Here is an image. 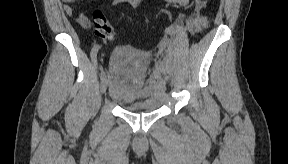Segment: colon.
Returning <instances> with one entry per match:
<instances>
[{
	"label": "colon",
	"instance_id": "colon-1",
	"mask_svg": "<svg viewBox=\"0 0 288 164\" xmlns=\"http://www.w3.org/2000/svg\"><path fill=\"white\" fill-rule=\"evenodd\" d=\"M90 21V27H93L94 33L98 38L107 41H113L115 39V33L111 26L107 23L106 17L101 10H93Z\"/></svg>",
	"mask_w": 288,
	"mask_h": 164
}]
</instances>
